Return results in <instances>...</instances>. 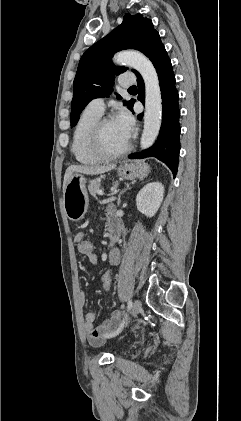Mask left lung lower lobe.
I'll return each instance as SVG.
<instances>
[{
  "label": "left lung lower lobe",
  "instance_id": "1",
  "mask_svg": "<svg viewBox=\"0 0 241 421\" xmlns=\"http://www.w3.org/2000/svg\"><path fill=\"white\" fill-rule=\"evenodd\" d=\"M145 55L150 58L159 77V85L162 97V124L156 143L142 152L131 154L130 159H144L147 157H156L164 162L173 172L174 177L177 173L179 151H180V126H179V94L175 87V76L172 70L171 61L160 40L159 34L153 38ZM139 100L143 102L144 82L141 75L136 72ZM141 120L143 115L139 114Z\"/></svg>",
  "mask_w": 241,
  "mask_h": 421
}]
</instances>
